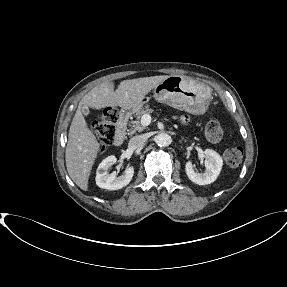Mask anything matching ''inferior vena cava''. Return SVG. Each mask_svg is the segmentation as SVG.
<instances>
[{
	"label": "inferior vena cava",
	"instance_id": "602c4592",
	"mask_svg": "<svg viewBox=\"0 0 287 287\" xmlns=\"http://www.w3.org/2000/svg\"><path fill=\"white\" fill-rule=\"evenodd\" d=\"M146 141V137L144 135H137L130 139L128 143V148L131 150H135L141 147Z\"/></svg>",
	"mask_w": 287,
	"mask_h": 287
}]
</instances>
